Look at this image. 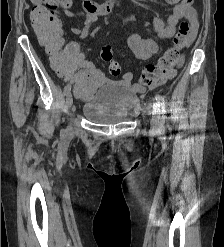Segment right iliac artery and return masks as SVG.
<instances>
[{"mask_svg": "<svg viewBox=\"0 0 224 247\" xmlns=\"http://www.w3.org/2000/svg\"><path fill=\"white\" fill-rule=\"evenodd\" d=\"M70 90H71V86L69 84L66 85L65 88H64V94L65 95L68 94L70 92Z\"/></svg>", "mask_w": 224, "mask_h": 247, "instance_id": "1", "label": "right iliac artery"}]
</instances>
